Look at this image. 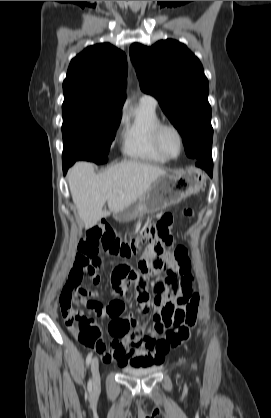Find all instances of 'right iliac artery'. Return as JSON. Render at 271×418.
I'll list each match as a JSON object with an SVG mask.
<instances>
[{"label": "right iliac artery", "mask_w": 271, "mask_h": 418, "mask_svg": "<svg viewBox=\"0 0 271 418\" xmlns=\"http://www.w3.org/2000/svg\"><path fill=\"white\" fill-rule=\"evenodd\" d=\"M91 359H92V353H89L86 357V364L89 366L91 363ZM88 390L91 391L92 390V381L90 380L88 383Z\"/></svg>", "instance_id": "obj_1"}]
</instances>
